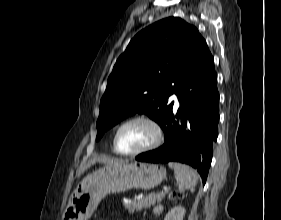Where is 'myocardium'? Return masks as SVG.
I'll use <instances>...</instances> for the list:
<instances>
[{
	"instance_id": "f54148a6",
	"label": "myocardium",
	"mask_w": 281,
	"mask_h": 220,
	"mask_svg": "<svg viewBox=\"0 0 281 220\" xmlns=\"http://www.w3.org/2000/svg\"><path fill=\"white\" fill-rule=\"evenodd\" d=\"M134 122H144V123L149 124L154 130V138L150 144H148L147 146H145L139 150H136L133 152H122L117 147L118 136H119L121 130L125 126H127L131 123H134ZM163 140H164V134H163L161 125L155 119H153L149 116L138 115V116H134V117H131V118L125 120L123 123H121L119 125V127L117 128V130L115 132L114 138H113V148H114V151L119 155L137 156V155H140V154H143V153L156 149L157 147H159L162 144Z\"/></svg>"
}]
</instances>
